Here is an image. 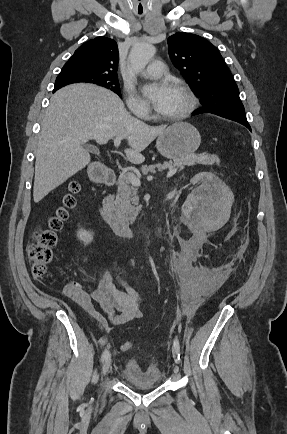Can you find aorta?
I'll return each instance as SVG.
<instances>
[{"instance_id":"aorta-1","label":"aorta","mask_w":287,"mask_h":434,"mask_svg":"<svg viewBox=\"0 0 287 434\" xmlns=\"http://www.w3.org/2000/svg\"><path fill=\"white\" fill-rule=\"evenodd\" d=\"M155 53L156 48L151 44H138L133 46L129 55L131 70L138 73L145 69Z\"/></svg>"}]
</instances>
